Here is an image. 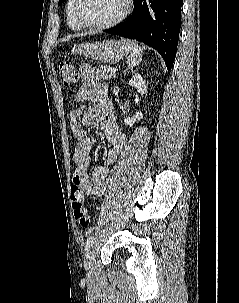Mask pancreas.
Listing matches in <instances>:
<instances>
[{"instance_id": "cf45deb5", "label": "pancreas", "mask_w": 239, "mask_h": 303, "mask_svg": "<svg viewBox=\"0 0 239 303\" xmlns=\"http://www.w3.org/2000/svg\"><path fill=\"white\" fill-rule=\"evenodd\" d=\"M100 77L105 80H110L112 77H115V73L111 72V67L106 65L100 66Z\"/></svg>"}]
</instances>
